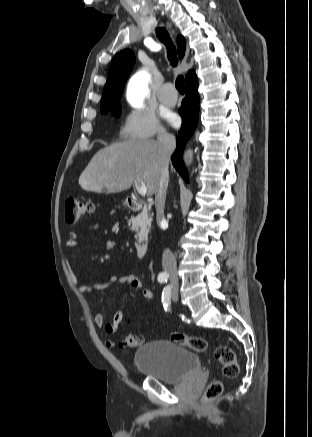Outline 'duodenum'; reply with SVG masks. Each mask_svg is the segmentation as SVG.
<instances>
[{
	"label": "duodenum",
	"instance_id": "1",
	"mask_svg": "<svg viewBox=\"0 0 312 437\" xmlns=\"http://www.w3.org/2000/svg\"><path fill=\"white\" fill-rule=\"evenodd\" d=\"M126 203L129 209L139 210L143 208V202L139 199L128 197ZM149 245L146 241L138 242L136 245V254L139 258H144L148 252Z\"/></svg>",
	"mask_w": 312,
	"mask_h": 437
}]
</instances>
